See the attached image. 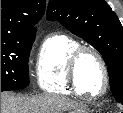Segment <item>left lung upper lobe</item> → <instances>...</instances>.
Wrapping results in <instances>:
<instances>
[{
	"mask_svg": "<svg viewBox=\"0 0 123 113\" xmlns=\"http://www.w3.org/2000/svg\"><path fill=\"white\" fill-rule=\"evenodd\" d=\"M49 20H57L103 56L110 88L123 104V27L104 0H50Z\"/></svg>",
	"mask_w": 123,
	"mask_h": 113,
	"instance_id": "obj_1",
	"label": "left lung upper lobe"
}]
</instances>
